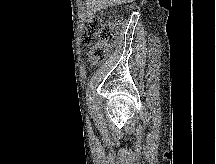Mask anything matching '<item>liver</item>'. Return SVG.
Masks as SVG:
<instances>
[{
    "label": "liver",
    "mask_w": 216,
    "mask_h": 164,
    "mask_svg": "<svg viewBox=\"0 0 216 164\" xmlns=\"http://www.w3.org/2000/svg\"><path fill=\"white\" fill-rule=\"evenodd\" d=\"M90 2V10L88 15H93L95 12L101 9H106L109 6L121 5L125 3H130L135 0H88Z\"/></svg>",
    "instance_id": "1"
}]
</instances>
